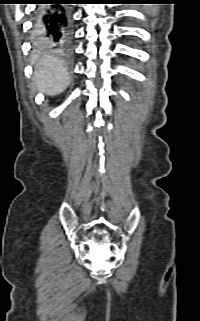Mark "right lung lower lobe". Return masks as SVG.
<instances>
[{
	"mask_svg": "<svg viewBox=\"0 0 200 321\" xmlns=\"http://www.w3.org/2000/svg\"><path fill=\"white\" fill-rule=\"evenodd\" d=\"M70 0H37L36 25L57 45L66 47L70 41L69 12L64 4Z\"/></svg>",
	"mask_w": 200,
	"mask_h": 321,
	"instance_id": "obj_1",
	"label": "right lung lower lobe"
}]
</instances>
